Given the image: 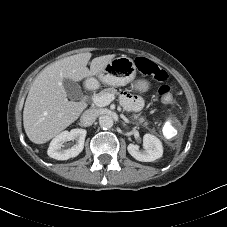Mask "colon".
<instances>
[{
	"label": "colon",
	"instance_id": "obj_1",
	"mask_svg": "<svg viewBox=\"0 0 227 227\" xmlns=\"http://www.w3.org/2000/svg\"><path fill=\"white\" fill-rule=\"evenodd\" d=\"M136 67L140 73L149 75L156 81L164 82L167 79V73L165 72V70L158 67L155 63L144 57H140L136 60ZM157 94L159 99L164 104L170 105L174 103V94L169 85H161L158 89Z\"/></svg>",
	"mask_w": 227,
	"mask_h": 227
}]
</instances>
